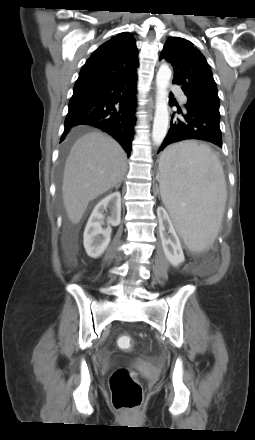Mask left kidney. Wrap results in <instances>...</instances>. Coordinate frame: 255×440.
<instances>
[{"label":"left kidney","mask_w":255,"mask_h":440,"mask_svg":"<svg viewBox=\"0 0 255 440\" xmlns=\"http://www.w3.org/2000/svg\"><path fill=\"white\" fill-rule=\"evenodd\" d=\"M157 214L160 218V237L164 254L173 266H178L185 261L179 237L166 210L163 207H159Z\"/></svg>","instance_id":"1"}]
</instances>
